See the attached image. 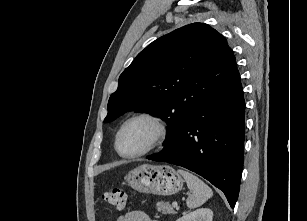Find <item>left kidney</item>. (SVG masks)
Returning <instances> with one entry per match:
<instances>
[{"label": "left kidney", "instance_id": "5707ae66", "mask_svg": "<svg viewBox=\"0 0 307 221\" xmlns=\"http://www.w3.org/2000/svg\"><path fill=\"white\" fill-rule=\"evenodd\" d=\"M213 212L209 208H200L183 215L176 221H212Z\"/></svg>", "mask_w": 307, "mask_h": 221}]
</instances>
